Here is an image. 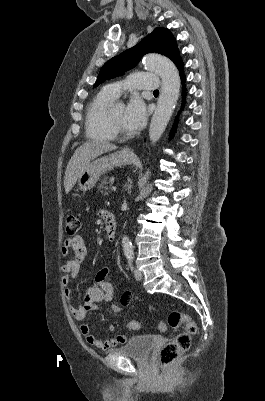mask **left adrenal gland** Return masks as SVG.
I'll return each instance as SVG.
<instances>
[{
    "label": "left adrenal gland",
    "mask_w": 265,
    "mask_h": 401,
    "mask_svg": "<svg viewBox=\"0 0 265 401\" xmlns=\"http://www.w3.org/2000/svg\"><path fill=\"white\" fill-rule=\"evenodd\" d=\"M125 186H129L128 182H126Z\"/></svg>",
    "instance_id": "a2214340"
}]
</instances>
